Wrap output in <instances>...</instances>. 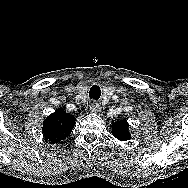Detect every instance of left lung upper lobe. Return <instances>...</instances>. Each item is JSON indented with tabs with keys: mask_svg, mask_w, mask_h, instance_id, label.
<instances>
[{
	"mask_svg": "<svg viewBox=\"0 0 188 188\" xmlns=\"http://www.w3.org/2000/svg\"><path fill=\"white\" fill-rule=\"evenodd\" d=\"M129 124L126 118L113 123L112 125V133L115 138L121 141H126L131 138V134L128 131Z\"/></svg>",
	"mask_w": 188,
	"mask_h": 188,
	"instance_id": "5c2ea615",
	"label": "left lung upper lobe"
}]
</instances>
